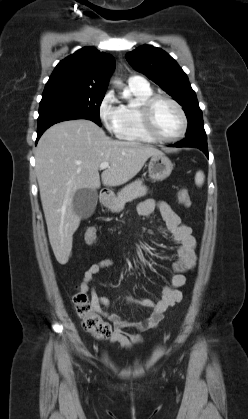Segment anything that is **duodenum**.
<instances>
[{
  "instance_id": "410a0bca",
  "label": "duodenum",
  "mask_w": 248,
  "mask_h": 419,
  "mask_svg": "<svg viewBox=\"0 0 248 419\" xmlns=\"http://www.w3.org/2000/svg\"><path fill=\"white\" fill-rule=\"evenodd\" d=\"M100 199L102 204H106V202L110 199V193L107 190H102L100 194Z\"/></svg>"
}]
</instances>
